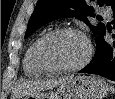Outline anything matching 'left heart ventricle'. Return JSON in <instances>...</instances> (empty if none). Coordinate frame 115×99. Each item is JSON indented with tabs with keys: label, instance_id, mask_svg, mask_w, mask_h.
<instances>
[{
	"label": "left heart ventricle",
	"instance_id": "obj_1",
	"mask_svg": "<svg viewBox=\"0 0 115 99\" xmlns=\"http://www.w3.org/2000/svg\"><path fill=\"white\" fill-rule=\"evenodd\" d=\"M44 56L55 66H73L86 54L84 40L74 34H61L48 40L44 45Z\"/></svg>",
	"mask_w": 115,
	"mask_h": 99
}]
</instances>
